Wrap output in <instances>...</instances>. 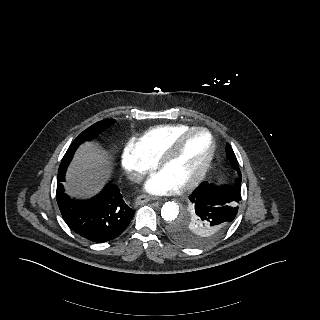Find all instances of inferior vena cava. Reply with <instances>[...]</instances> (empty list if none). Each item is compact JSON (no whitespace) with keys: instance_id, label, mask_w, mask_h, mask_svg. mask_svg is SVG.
Returning <instances> with one entry per match:
<instances>
[{"instance_id":"obj_1","label":"inferior vena cava","mask_w":320,"mask_h":320,"mask_svg":"<svg viewBox=\"0 0 320 320\" xmlns=\"http://www.w3.org/2000/svg\"><path fill=\"white\" fill-rule=\"evenodd\" d=\"M129 179L134 182H140L143 179V175L137 172L130 173Z\"/></svg>"}]
</instances>
